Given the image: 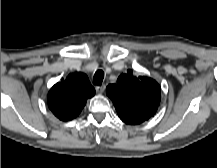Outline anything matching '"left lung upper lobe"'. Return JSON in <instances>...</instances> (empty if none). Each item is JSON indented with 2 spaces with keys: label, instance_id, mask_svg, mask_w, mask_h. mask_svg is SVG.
<instances>
[{
  "label": "left lung upper lobe",
  "instance_id": "1",
  "mask_svg": "<svg viewBox=\"0 0 217 168\" xmlns=\"http://www.w3.org/2000/svg\"><path fill=\"white\" fill-rule=\"evenodd\" d=\"M119 118L130 125H137L152 117L158 109L161 89L148 77H136L132 70L121 74L116 84L107 86Z\"/></svg>",
  "mask_w": 217,
  "mask_h": 168
}]
</instances>
